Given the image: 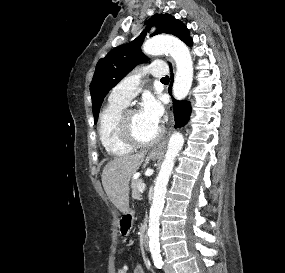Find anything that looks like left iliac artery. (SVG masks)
<instances>
[{
	"label": "left iliac artery",
	"mask_w": 285,
	"mask_h": 273,
	"mask_svg": "<svg viewBox=\"0 0 285 273\" xmlns=\"http://www.w3.org/2000/svg\"><path fill=\"white\" fill-rule=\"evenodd\" d=\"M152 258H153L154 265L157 268L161 269L163 264H164L163 261H162L161 255L160 254H157V255L155 254V255L152 256Z\"/></svg>",
	"instance_id": "44dca946"
}]
</instances>
